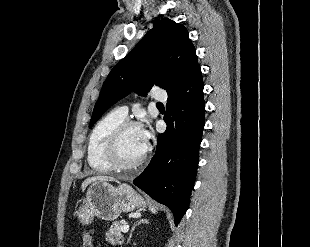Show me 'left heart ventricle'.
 I'll return each mask as SVG.
<instances>
[{
    "label": "left heart ventricle",
    "mask_w": 310,
    "mask_h": 247,
    "mask_svg": "<svg viewBox=\"0 0 310 247\" xmlns=\"http://www.w3.org/2000/svg\"><path fill=\"white\" fill-rule=\"evenodd\" d=\"M147 142L144 139L141 128H129L120 140L119 155L124 164H132L139 160L144 154Z\"/></svg>",
    "instance_id": "1"
}]
</instances>
